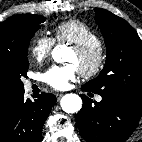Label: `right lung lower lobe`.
Returning <instances> with one entry per match:
<instances>
[{"instance_id":"98d812e1","label":"right lung lower lobe","mask_w":142,"mask_h":142,"mask_svg":"<svg viewBox=\"0 0 142 142\" xmlns=\"http://www.w3.org/2000/svg\"><path fill=\"white\" fill-rule=\"evenodd\" d=\"M56 102L53 94L41 93L34 101L21 92L0 121V142H39L42 127Z\"/></svg>"}]
</instances>
